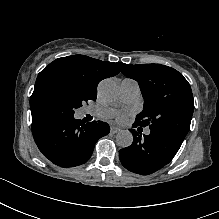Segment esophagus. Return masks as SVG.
<instances>
[{
	"instance_id": "34e87169",
	"label": "esophagus",
	"mask_w": 219,
	"mask_h": 219,
	"mask_svg": "<svg viewBox=\"0 0 219 219\" xmlns=\"http://www.w3.org/2000/svg\"><path fill=\"white\" fill-rule=\"evenodd\" d=\"M120 128L116 127V126H112L111 127V133L113 134H117L118 132H120Z\"/></svg>"
}]
</instances>
